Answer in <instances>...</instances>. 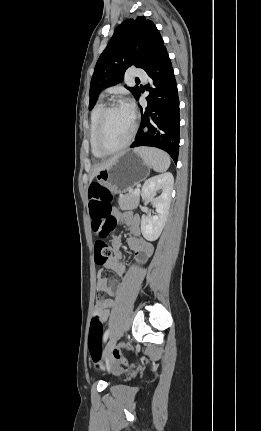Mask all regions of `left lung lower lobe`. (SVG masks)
Returning <instances> with one entry per match:
<instances>
[{
  "instance_id": "0a47b994",
  "label": "left lung lower lobe",
  "mask_w": 261,
  "mask_h": 431,
  "mask_svg": "<svg viewBox=\"0 0 261 431\" xmlns=\"http://www.w3.org/2000/svg\"><path fill=\"white\" fill-rule=\"evenodd\" d=\"M151 81L146 108L140 106L142 120L131 148L157 147L177 163L180 141V116L177 84L166 47L163 46L144 69ZM141 91L135 97L139 99ZM144 129V130H143Z\"/></svg>"
}]
</instances>
